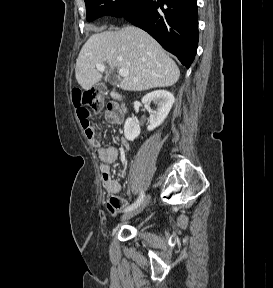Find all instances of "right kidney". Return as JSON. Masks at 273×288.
<instances>
[{"label": "right kidney", "mask_w": 273, "mask_h": 288, "mask_svg": "<svg viewBox=\"0 0 273 288\" xmlns=\"http://www.w3.org/2000/svg\"><path fill=\"white\" fill-rule=\"evenodd\" d=\"M175 99L172 93L166 90H156L148 93L142 98V103L146 110L150 111L151 103H154L157 107L153 111L149 118L148 131H152L160 126L167 115L169 114ZM140 125L132 118H127L124 124V136L127 140L133 141L140 135Z\"/></svg>", "instance_id": "obj_1"}]
</instances>
